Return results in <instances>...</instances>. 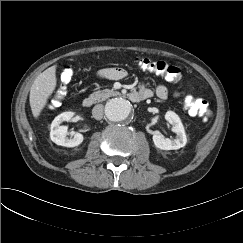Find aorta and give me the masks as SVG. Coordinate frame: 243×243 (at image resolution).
<instances>
[{"label": "aorta", "mask_w": 243, "mask_h": 243, "mask_svg": "<svg viewBox=\"0 0 243 243\" xmlns=\"http://www.w3.org/2000/svg\"><path fill=\"white\" fill-rule=\"evenodd\" d=\"M131 113V104L123 98H114L105 105V115L112 122H121Z\"/></svg>", "instance_id": "obj_1"}]
</instances>
